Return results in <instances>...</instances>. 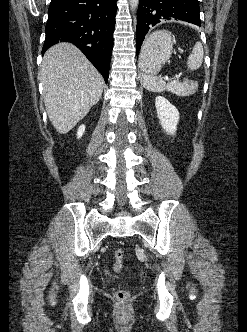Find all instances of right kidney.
Wrapping results in <instances>:
<instances>
[{"label":"right kidney","mask_w":247,"mask_h":332,"mask_svg":"<svg viewBox=\"0 0 247 332\" xmlns=\"http://www.w3.org/2000/svg\"><path fill=\"white\" fill-rule=\"evenodd\" d=\"M84 132H85V125L79 126L77 131V138H81Z\"/></svg>","instance_id":"obj_1"}]
</instances>
